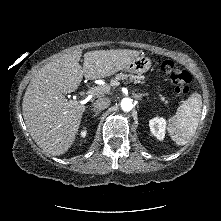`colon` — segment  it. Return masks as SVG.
Returning a JSON list of instances; mask_svg holds the SVG:
<instances>
[{
  "label": "colon",
  "mask_w": 221,
  "mask_h": 221,
  "mask_svg": "<svg viewBox=\"0 0 221 221\" xmlns=\"http://www.w3.org/2000/svg\"><path fill=\"white\" fill-rule=\"evenodd\" d=\"M157 66L170 77L176 94L181 96L188 94L191 75L187 71L177 68L170 60H158Z\"/></svg>",
  "instance_id": "1"
}]
</instances>
